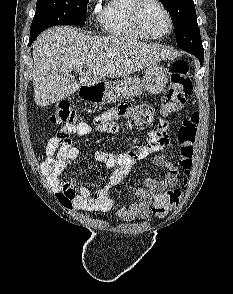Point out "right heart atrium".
I'll use <instances>...</instances> for the list:
<instances>
[{
	"instance_id": "d8ad5b80",
	"label": "right heart atrium",
	"mask_w": 233,
	"mask_h": 294,
	"mask_svg": "<svg viewBox=\"0 0 233 294\" xmlns=\"http://www.w3.org/2000/svg\"><path fill=\"white\" fill-rule=\"evenodd\" d=\"M97 0H89L90 5H95Z\"/></svg>"
}]
</instances>
